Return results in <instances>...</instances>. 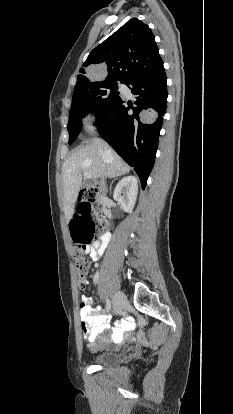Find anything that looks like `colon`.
<instances>
[{
  "label": "colon",
  "instance_id": "5ec220e1",
  "mask_svg": "<svg viewBox=\"0 0 233 414\" xmlns=\"http://www.w3.org/2000/svg\"><path fill=\"white\" fill-rule=\"evenodd\" d=\"M104 194V190L100 188L89 189L85 195L94 197ZM104 229L103 220L94 211L91 204L87 203L83 207H78L76 213L70 222V231L75 242L73 249V257L75 268L78 275V286L80 290H84L85 279L90 267L89 261L85 258L86 248L93 242L96 236ZM84 275L83 277L81 275Z\"/></svg>",
  "mask_w": 233,
  "mask_h": 414
}]
</instances>
